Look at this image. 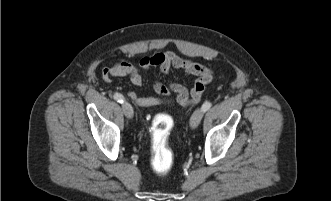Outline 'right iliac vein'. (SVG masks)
Listing matches in <instances>:
<instances>
[{"mask_svg":"<svg viewBox=\"0 0 331 201\" xmlns=\"http://www.w3.org/2000/svg\"><path fill=\"white\" fill-rule=\"evenodd\" d=\"M122 109L127 118H132L133 117V108L128 102H123L122 104Z\"/></svg>","mask_w":331,"mask_h":201,"instance_id":"1","label":"right iliac vein"}]
</instances>
